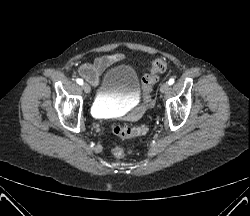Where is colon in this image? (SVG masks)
<instances>
[{"mask_svg": "<svg viewBox=\"0 0 250 216\" xmlns=\"http://www.w3.org/2000/svg\"><path fill=\"white\" fill-rule=\"evenodd\" d=\"M167 69V62L164 59H156L151 67L149 73L145 74L141 80V90L143 99L147 105L152 104L151 92L153 86L159 80V74L165 72ZM112 132L122 139L141 137L147 134L148 126L141 124L137 126H123L113 125ZM133 152L132 146L115 147L112 149V154L116 158H123Z\"/></svg>", "mask_w": 250, "mask_h": 216, "instance_id": "colon-1", "label": "colon"}]
</instances>
